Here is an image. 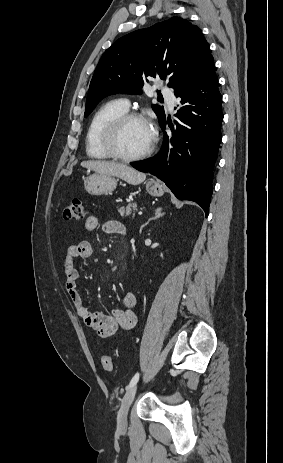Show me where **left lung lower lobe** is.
<instances>
[{
  "label": "left lung lower lobe",
  "instance_id": "left-lung-lower-lobe-1",
  "mask_svg": "<svg viewBox=\"0 0 283 463\" xmlns=\"http://www.w3.org/2000/svg\"><path fill=\"white\" fill-rule=\"evenodd\" d=\"M174 94L179 98V108L176 128L171 126L172 137L165 133L162 151L132 166L157 176L178 199L198 203L208 216L223 120L214 63ZM165 126L164 120L162 130Z\"/></svg>",
  "mask_w": 283,
  "mask_h": 463
}]
</instances>
